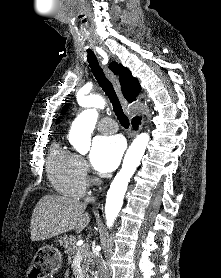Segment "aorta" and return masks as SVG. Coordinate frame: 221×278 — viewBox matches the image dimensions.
<instances>
[{
    "mask_svg": "<svg viewBox=\"0 0 221 278\" xmlns=\"http://www.w3.org/2000/svg\"><path fill=\"white\" fill-rule=\"evenodd\" d=\"M91 105L94 108L86 109L77 116L69 134L70 142L80 153H86L90 149L91 133L98 118L96 108H103L104 100L99 96L91 97ZM149 140L147 133H142L134 139L124 157L121 170L110 185L105 203L106 224L109 228L122 208L128 183L140 164Z\"/></svg>",
    "mask_w": 221,
    "mask_h": 278,
    "instance_id": "1",
    "label": "aorta"
}]
</instances>
